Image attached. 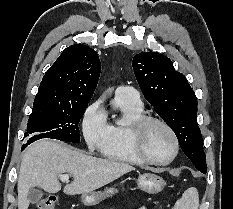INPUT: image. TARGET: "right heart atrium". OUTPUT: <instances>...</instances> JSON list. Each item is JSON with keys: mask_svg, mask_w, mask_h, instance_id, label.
Listing matches in <instances>:
<instances>
[{"mask_svg": "<svg viewBox=\"0 0 233 209\" xmlns=\"http://www.w3.org/2000/svg\"><path fill=\"white\" fill-rule=\"evenodd\" d=\"M110 127L101 107V101L90 104L82 117V133L90 150L100 149L109 137Z\"/></svg>", "mask_w": 233, "mask_h": 209, "instance_id": "obj_1", "label": "right heart atrium"}]
</instances>
